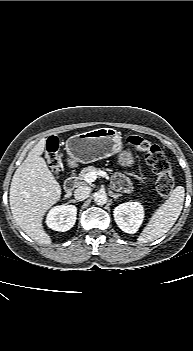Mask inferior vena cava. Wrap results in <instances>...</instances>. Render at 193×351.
<instances>
[{
  "label": "inferior vena cava",
  "instance_id": "inferior-vena-cava-1",
  "mask_svg": "<svg viewBox=\"0 0 193 351\" xmlns=\"http://www.w3.org/2000/svg\"><path fill=\"white\" fill-rule=\"evenodd\" d=\"M90 188L87 186H79L74 191V197L76 200L83 201L89 197Z\"/></svg>",
  "mask_w": 193,
  "mask_h": 351
}]
</instances>
